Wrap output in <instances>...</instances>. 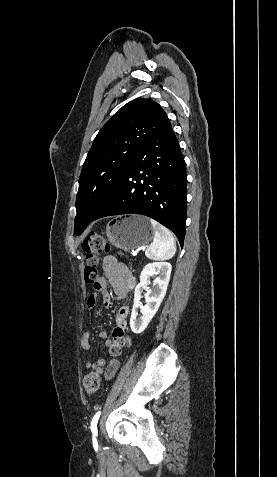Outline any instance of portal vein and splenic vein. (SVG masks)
Wrapping results in <instances>:
<instances>
[{"mask_svg": "<svg viewBox=\"0 0 277 477\" xmlns=\"http://www.w3.org/2000/svg\"><path fill=\"white\" fill-rule=\"evenodd\" d=\"M132 255H133V256H136V255H137V251H133V252H132Z\"/></svg>", "mask_w": 277, "mask_h": 477, "instance_id": "18ae733b", "label": "portal vein and splenic vein"}]
</instances>
